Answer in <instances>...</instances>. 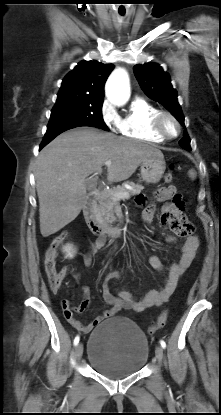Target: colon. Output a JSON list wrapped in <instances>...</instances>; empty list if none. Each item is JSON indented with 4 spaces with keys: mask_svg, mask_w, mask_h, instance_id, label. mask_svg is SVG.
I'll list each match as a JSON object with an SVG mask.
<instances>
[{
    "mask_svg": "<svg viewBox=\"0 0 221 415\" xmlns=\"http://www.w3.org/2000/svg\"><path fill=\"white\" fill-rule=\"evenodd\" d=\"M164 180L166 183H170L173 180L172 172H167L164 176ZM66 237V232H61L58 235H56L50 242L45 253L44 269L48 279L49 286L51 290L54 292H57L60 289L62 282L68 273L67 268L58 269L56 267L57 250L59 246L63 243V241L66 239ZM167 317L168 312H162L160 316L157 318L156 322L149 327V333H154L155 331L164 327L167 321Z\"/></svg>",
    "mask_w": 221,
    "mask_h": 415,
    "instance_id": "obj_1",
    "label": "colon"
}]
</instances>
